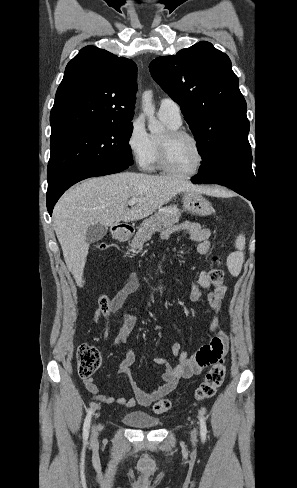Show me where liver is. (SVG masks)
Returning a JSON list of instances; mask_svg holds the SVG:
<instances>
[{
  "mask_svg": "<svg viewBox=\"0 0 297 488\" xmlns=\"http://www.w3.org/2000/svg\"><path fill=\"white\" fill-rule=\"evenodd\" d=\"M209 193L210 189L195 186L175 176H151L123 172L85 180L67 191L53 211V224L65 263L77 286L83 287V273L89 243V226H114L150 216L180 192ZM131 198L137 205L128 208Z\"/></svg>",
  "mask_w": 297,
  "mask_h": 488,
  "instance_id": "liver-1",
  "label": "liver"
}]
</instances>
